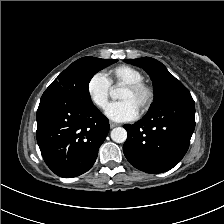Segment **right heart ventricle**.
<instances>
[{
	"mask_svg": "<svg viewBox=\"0 0 224 224\" xmlns=\"http://www.w3.org/2000/svg\"><path fill=\"white\" fill-rule=\"evenodd\" d=\"M106 77L112 85H125L128 83L143 81L144 76L137 68L121 64L106 72Z\"/></svg>",
	"mask_w": 224,
	"mask_h": 224,
	"instance_id": "obj_1",
	"label": "right heart ventricle"
}]
</instances>
